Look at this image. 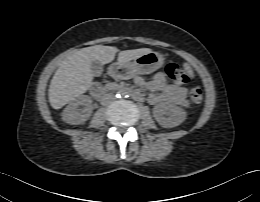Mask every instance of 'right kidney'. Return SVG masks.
<instances>
[{"mask_svg": "<svg viewBox=\"0 0 260 202\" xmlns=\"http://www.w3.org/2000/svg\"><path fill=\"white\" fill-rule=\"evenodd\" d=\"M91 113H92L91 98L87 95H81L75 98L64 109L62 113V120L68 124L78 125L87 121Z\"/></svg>", "mask_w": 260, "mask_h": 202, "instance_id": "obj_1", "label": "right kidney"}]
</instances>
